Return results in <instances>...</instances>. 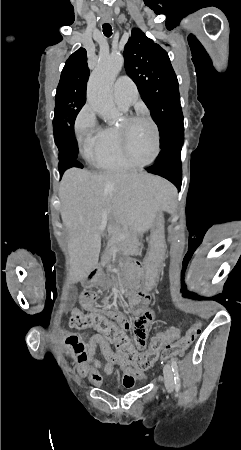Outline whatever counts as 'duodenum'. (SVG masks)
Here are the masks:
<instances>
[{"instance_id":"410a0bca","label":"duodenum","mask_w":241,"mask_h":450,"mask_svg":"<svg viewBox=\"0 0 241 450\" xmlns=\"http://www.w3.org/2000/svg\"><path fill=\"white\" fill-rule=\"evenodd\" d=\"M139 271L140 263L136 260H127L122 265L123 285L128 290H136L139 288ZM101 269L93 268L85 277V284L92 286L96 284L101 276Z\"/></svg>"}]
</instances>
